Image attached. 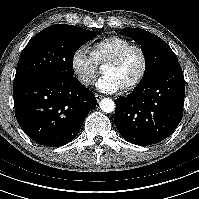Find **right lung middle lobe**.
Wrapping results in <instances>:
<instances>
[{
  "label": "right lung middle lobe",
  "mask_w": 199,
  "mask_h": 199,
  "mask_svg": "<svg viewBox=\"0 0 199 199\" xmlns=\"http://www.w3.org/2000/svg\"><path fill=\"white\" fill-rule=\"evenodd\" d=\"M96 36L80 27L56 24L34 36L17 64L14 81L37 76L72 79L74 53Z\"/></svg>",
  "instance_id": "obj_1"
}]
</instances>
